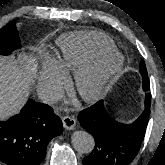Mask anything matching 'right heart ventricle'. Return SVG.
I'll return each instance as SVG.
<instances>
[{
  "label": "right heart ventricle",
  "mask_w": 165,
  "mask_h": 165,
  "mask_svg": "<svg viewBox=\"0 0 165 165\" xmlns=\"http://www.w3.org/2000/svg\"><path fill=\"white\" fill-rule=\"evenodd\" d=\"M57 46L56 64L63 71H77L97 54L116 50L115 43L98 31L66 34L58 39Z\"/></svg>",
  "instance_id": "obj_1"
}]
</instances>
